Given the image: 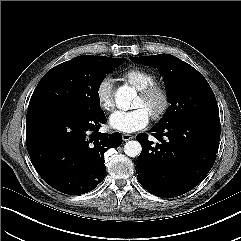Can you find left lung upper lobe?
Segmentation results:
<instances>
[{
    "label": "left lung upper lobe",
    "instance_id": "1",
    "mask_svg": "<svg viewBox=\"0 0 241 241\" xmlns=\"http://www.w3.org/2000/svg\"><path fill=\"white\" fill-rule=\"evenodd\" d=\"M130 60L158 67L163 76L171 105L157 126L190 117L219 119L218 105L210 85L188 63L170 54L130 57Z\"/></svg>",
    "mask_w": 241,
    "mask_h": 241
}]
</instances>
